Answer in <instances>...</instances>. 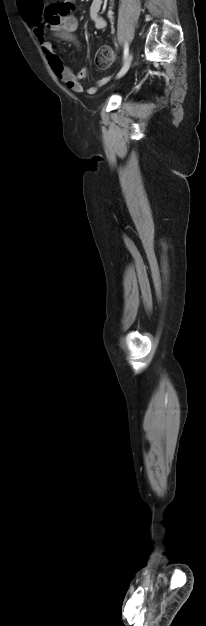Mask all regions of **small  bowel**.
Segmentation results:
<instances>
[{
    "mask_svg": "<svg viewBox=\"0 0 206 626\" xmlns=\"http://www.w3.org/2000/svg\"><path fill=\"white\" fill-rule=\"evenodd\" d=\"M102 4L103 0H92L89 7V15L96 29H104L107 26L106 20L100 16ZM26 18L33 26L35 37L40 42L56 76L66 83L73 92H84L82 80L87 77L88 70L81 68L77 72H73L56 53L54 43L46 38L50 34L57 41L70 42L78 46V40L74 35L78 28V20L75 16L73 0L50 3L47 6H44L42 1L36 2L32 10L26 14ZM108 80V77L98 80L94 85L88 87L86 92L94 94Z\"/></svg>",
    "mask_w": 206,
    "mask_h": 626,
    "instance_id": "obj_1",
    "label": "small bowel"
}]
</instances>
